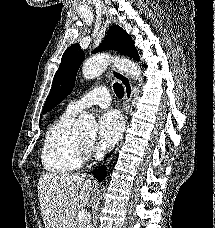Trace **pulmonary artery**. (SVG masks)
Returning a JSON list of instances; mask_svg holds the SVG:
<instances>
[{"mask_svg": "<svg viewBox=\"0 0 215 228\" xmlns=\"http://www.w3.org/2000/svg\"><path fill=\"white\" fill-rule=\"evenodd\" d=\"M106 89H109V84H98V88L89 91L78 100L71 101L67 105V111L78 114L94 105L107 108L110 105V96Z\"/></svg>", "mask_w": 215, "mask_h": 228, "instance_id": "e3ab8cb5", "label": "pulmonary artery"}]
</instances>
